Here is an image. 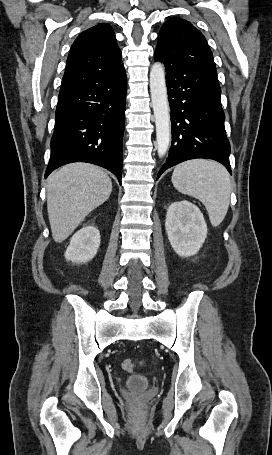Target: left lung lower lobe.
Masks as SVG:
<instances>
[{
	"mask_svg": "<svg viewBox=\"0 0 272 455\" xmlns=\"http://www.w3.org/2000/svg\"><path fill=\"white\" fill-rule=\"evenodd\" d=\"M166 84L172 145L157 179L168 168L195 158L216 160L231 174L217 72L193 67L166 69Z\"/></svg>",
	"mask_w": 272,
	"mask_h": 455,
	"instance_id": "1",
	"label": "left lung lower lobe"
}]
</instances>
